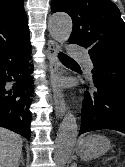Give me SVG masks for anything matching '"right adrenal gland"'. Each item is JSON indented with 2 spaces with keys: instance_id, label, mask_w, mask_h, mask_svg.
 <instances>
[{
  "instance_id": "2a0ac1e0",
  "label": "right adrenal gland",
  "mask_w": 125,
  "mask_h": 167,
  "mask_svg": "<svg viewBox=\"0 0 125 167\" xmlns=\"http://www.w3.org/2000/svg\"><path fill=\"white\" fill-rule=\"evenodd\" d=\"M20 164L24 165L23 154H21V156H20V160H19V162L17 163V166H16V167H19Z\"/></svg>"
}]
</instances>
